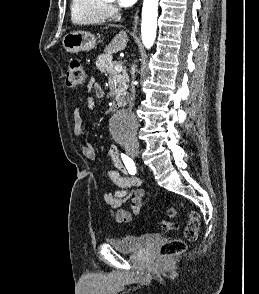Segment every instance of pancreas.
<instances>
[{"mask_svg": "<svg viewBox=\"0 0 259 294\" xmlns=\"http://www.w3.org/2000/svg\"><path fill=\"white\" fill-rule=\"evenodd\" d=\"M117 63L112 61V55L102 54L97 58L96 67L102 73L109 74L110 77L114 78L118 83V88L116 90V101L118 104L122 105L124 103V93L128 88L127 83L129 82L128 74L126 70L117 72L114 68Z\"/></svg>", "mask_w": 259, "mask_h": 294, "instance_id": "obj_1", "label": "pancreas"}]
</instances>
